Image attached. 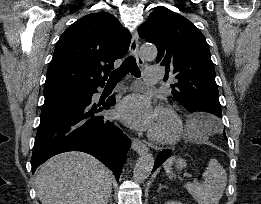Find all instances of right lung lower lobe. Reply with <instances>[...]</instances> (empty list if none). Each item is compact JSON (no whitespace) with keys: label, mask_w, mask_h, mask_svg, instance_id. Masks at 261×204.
Instances as JSON below:
<instances>
[{"label":"right lung lower lobe","mask_w":261,"mask_h":204,"mask_svg":"<svg viewBox=\"0 0 261 204\" xmlns=\"http://www.w3.org/2000/svg\"><path fill=\"white\" fill-rule=\"evenodd\" d=\"M96 92L97 87L44 102L33 147L32 173L54 155L83 151L100 160L119 179L130 140L99 114L115 104V97L100 106L92 101Z\"/></svg>","instance_id":"1"}]
</instances>
